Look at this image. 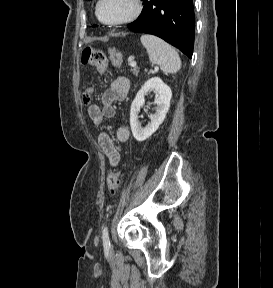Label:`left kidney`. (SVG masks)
I'll return each mask as SVG.
<instances>
[{
    "mask_svg": "<svg viewBox=\"0 0 273 288\" xmlns=\"http://www.w3.org/2000/svg\"><path fill=\"white\" fill-rule=\"evenodd\" d=\"M152 90L156 94L154 101L156 104L155 113L150 116L151 121L143 128L138 120V115L145 102V95ZM171 97L172 91L170 87L159 77H153L145 81L133 100L130 110V126L132 134L137 141L141 142L148 139L163 123L170 108Z\"/></svg>",
    "mask_w": 273,
    "mask_h": 288,
    "instance_id": "left-kidney-1",
    "label": "left kidney"
}]
</instances>
